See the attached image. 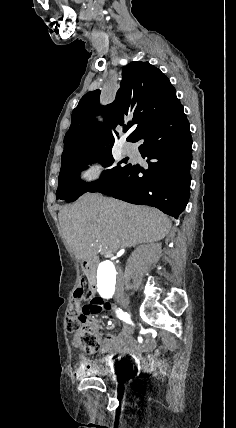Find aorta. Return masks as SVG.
<instances>
[{
	"mask_svg": "<svg viewBox=\"0 0 236 428\" xmlns=\"http://www.w3.org/2000/svg\"><path fill=\"white\" fill-rule=\"evenodd\" d=\"M118 268L110 260L101 262L97 269V289L103 295H111L116 290Z\"/></svg>",
	"mask_w": 236,
	"mask_h": 428,
	"instance_id": "obj_1",
	"label": "aorta"
}]
</instances>
